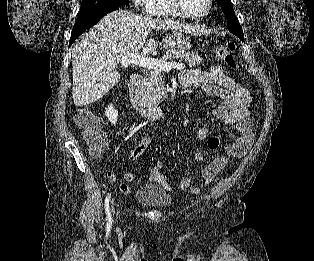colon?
Listing matches in <instances>:
<instances>
[{"label":"colon","mask_w":314,"mask_h":261,"mask_svg":"<svg viewBox=\"0 0 314 261\" xmlns=\"http://www.w3.org/2000/svg\"><path fill=\"white\" fill-rule=\"evenodd\" d=\"M235 44L228 42L216 51L217 57L227 66L234 68L237 65L235 57ZM76 124L83 130V137L86 140L90 152L93 155H99L107 147V137L100 130V119L92 112L79 109L74 114ZM208 146L210 150H216L220 146V138L217 136L209 140Z\"/></svg>","instance_id":"5ec220e1"}]
</instances>
